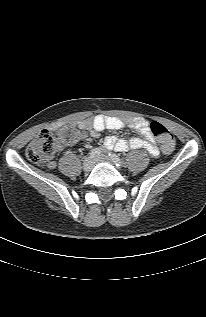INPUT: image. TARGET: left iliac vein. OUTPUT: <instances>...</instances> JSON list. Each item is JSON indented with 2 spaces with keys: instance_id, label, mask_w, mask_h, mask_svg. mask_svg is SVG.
Here are the masks:
<instances>
[{
  "instance_id": "obj_1",
  "label": "left iliac vein",
  "mask_w": 206,
  "mask_h": 317,
  "mask_svg": "<svg viewBox=\"0 0 206 317\" xmlns=\"http://www.w3.org/2000/svg\"><path fill=\"white\" fill-rule=\"evenodd\" d=\"M99 162L113 163L112 160L108 156H105V155L94 159V163H99Z\"/></svg>"
}]
</instances>
